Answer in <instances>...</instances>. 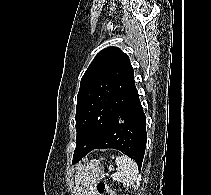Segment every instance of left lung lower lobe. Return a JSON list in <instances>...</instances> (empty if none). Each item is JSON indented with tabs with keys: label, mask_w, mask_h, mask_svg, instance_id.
<instances>
[{
	"label": "left lung lower lobe",
	"mask_w": 211,
	"mask_h": 195,
	"mask_svg": "<svg viewBox=\"0 0 211 195\" xmlns=\"http://www.w3.org/2000/svg\"><path fill=\"white\" fill-rule=\"evenodd\" d=\"M146 139V117L137 92L108 123L94 149H117L133 158L140 170L146 148Z\"/></svg>",
	"instance_id": "obj_1"
}]
</instances>
